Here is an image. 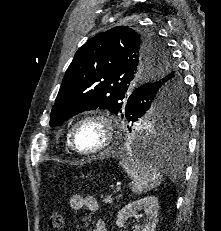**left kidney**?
<instances>
[{
  "mask_svg": "<svg viewBox=\"0 0 221 231\" xmlns=\"http://www.w3.org/2000/svg\"><path fill=\"white\" fill-rule=\"evenodd\" d=\"M158 209V199L155 196H148L131 202L118 212L116 225L119 228L124 227L125 221L128 218H137L138 211L143 210L146 215V221L142 225H135L134 231H154L158 223Z\"/></svg>",
  "mask_w": 221,
  "mask_h": 231,
  "instance_id": "5707ae66",
  "label": "left kidney"
}]
</instances>
